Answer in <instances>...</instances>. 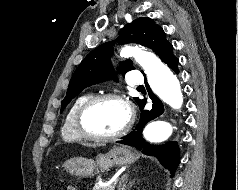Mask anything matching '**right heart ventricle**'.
I'll return each instance as SVG.
<instances>
[{"mask_svg": "<svg viewBox=\"0 0 238 190\" xmlns=\"http://www.w3.org/2000/svg\"><path fill=\"white\" fill-rule=\"evenodd\" d=\"M91 96V94H83L75 99L69 108L62 129L61 135L64 141L66 142H79L84 140V138L78 133L75 125V118L79 108L84 102H86Z\"/></svg>", "mask_w": 238, "mask_h": 190, "instance_id": "e07e8e85", "label": "right heart ventricle"}]
</instances>
